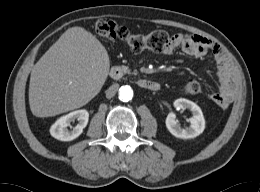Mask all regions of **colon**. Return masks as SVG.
I'll use <instances>...</instances> for the list:
<instances>
[{
    "instance_id": "1",
    "label": "colon",
    "mask_w": 260,
    "mask_h": 192,
    "mask_svg": "<svg viewBox=\"0 0 260 192\" xmlns=\"http://www.w3.org/2000/svg\"><path fill=\"white\" fill-rule=\"evenodd\" d=\"M95 30L102 39H119L127 43L134 51L146 49L164 51L175 39V35L165 30H155L148 34H135L108 18L99 19L95 24ZM183 90L187 94L194 95L201 91V86L197 81L189 80L184 85Z\"/></svg>"
}]
</instances>
